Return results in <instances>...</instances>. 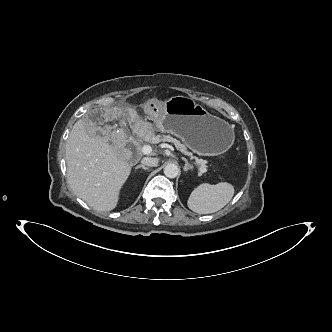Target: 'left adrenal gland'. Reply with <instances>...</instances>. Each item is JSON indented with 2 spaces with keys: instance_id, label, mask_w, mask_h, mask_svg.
Instances as JSON below:
<instances>
[{
  "instance_id": "left-adrenal-gland-1",
  "label": "left adrenal gland",
  "mask_w": 332,
  "mask_h": 332,
  "mask_svg": "<svg viewBox=\"0 0 332 332\" xmlns=\"http://www.w3.org/2000/svg\"><path fill=\"white\" fill-rule=\"evenodd\" d=\"M182 160H184V162H185V166H184V168H183L184 171L187 172L188 170H191L192 167L190 166L188 160H187L185 157H182Z\"/></svg>"
}]
</instances>
